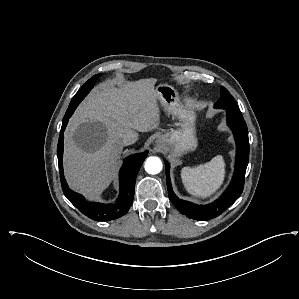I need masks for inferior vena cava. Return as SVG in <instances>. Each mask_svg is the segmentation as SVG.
Here are the masks:
<instances>
[{
  "mask_svg": "<svg viewBox=\"0 0 299 299\" xmlns=\"http://www.w3.org/2000/svg\"><path fill=\"white\" fill-rule=\"evenodd\" d=\"M138 139V134L135 131H128V133L123 138V145H131L135 143Z\"/></svg>",
  "mask_w": 299,
  "mask_h": 299,
  "instance_id": "inferior-vena-cava-1",
  "label": "inferior vena cava"
}]
</instances>
